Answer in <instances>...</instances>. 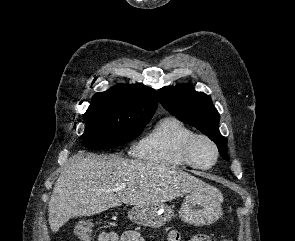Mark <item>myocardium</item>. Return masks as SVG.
<instances>
[{
    "label": "myocardium",
    "mask_w": 295,
    "mask_h": 241,
    "mask_svg": "<svg viewBox=\"0 0 295 241\" xmlns=\"http://www.w3.org/2000/svg\"><path fill=\"white\" fill-rule=\"evenodd\" d=\"M198 140H205L206 142H208L213 150H214V160L210 165L207 166H203L199 163H197L194 159L193 156V149H194V145ZM182 154L183 157L186 161V163L196 169H201V170H208L213 168L220 157V151H219V147L217 145V143L208 135L204 134V133H194L192 134L184 143L183 145V149H182Z\"/></svg>",
    "instance_id": "f54148a6"
}]
</instances>
